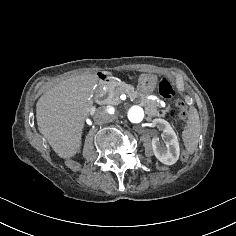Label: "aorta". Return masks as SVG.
Returning a JSON list of instances; mask_svg holds the SVG:
<instances>
[{
  "label": "aorta",
  "mask_w": 236,
  "mask_h": 236,
  "mask_svg": "<svg viewBox=\"0 0 236 236\" xmlns=\"http://www.w3.org/2000/svg\"><path fill=\"white\" fill-rule=\"evenodd\" d=\"M117 110L114 106L110 105L105 109L106 114H114ZM125 115L132 123H140L145 119V110L140 106H132L125 110Z\"/></svg>",
  "instance_id": "obj_1"
}]
</instances>
